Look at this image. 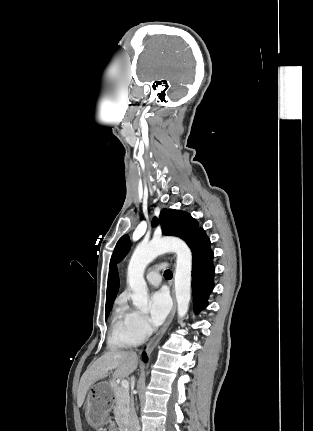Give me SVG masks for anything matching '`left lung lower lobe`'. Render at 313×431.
Returning a JSON list of instances; mask_svg holds the SVG:
<instances>
[{
	"label": "left lung lower lobe",
	"mask_w": 313,
	"mask_h": 431,
	"mask_svg": "<svg viewBox=\"0 0 313 431\" xmlns=\"http://www.w3.org/2000/svg\"><path fill=\"white\" fill-rule=\"evenodd\" d=\"M192 251V291L194 311L197 313L208 305L213 290V252L210 239L202 229L190 246Z\"/></svg>",
	"instance_id": "left-lung-lower-lobe-1"
}]
</instances>
